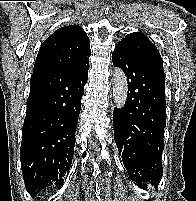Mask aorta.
Here are the masks:
<instances>
[{
  "instance_id": "aorta-1",
  "label": "aorta",
  "mask_w": 196,
  "mask_h": 201,
  "mask_svg": "<svg viewBox=\"0 0 196 201\" xmlns=\"http://www.w3.org/2000/svg\"><path fill=\"white\" fill-rule=\"evenodd\" d=\"M113 100L118 109H121L127 101V79L123 70L119 67L114 69L113 77Z\"/></svg>"
}]
</instances>
